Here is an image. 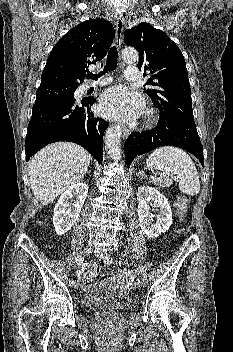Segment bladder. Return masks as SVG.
<instances>
[{
    "instance_id": "obj_1",
    "label": "bladder",
    "mask_w": 233,
    "mask_h": 352,
    "mask_svg": "<svg viewBox=\"0 0 233 352\" xmlns=\"http://www.w3.org/2000/svg\"><path fill=\"white\" fill-rule=\"evenodd\" d=\"M135 303L133 293L114 289L104 283L91 286L83 298V304L88 308L103 306L117 311L128 310Z\"/></svg>"
}]
</instances>
